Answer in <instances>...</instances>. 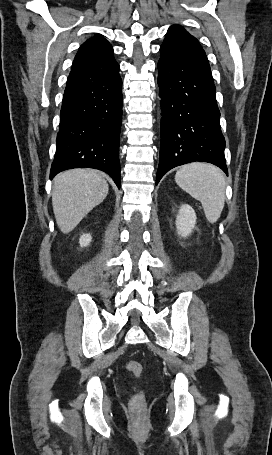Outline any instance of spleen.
<instances>
[{"label":"spleen","mask_w":272,"mask_h":455,"mask_svg":"<svg viewBox=\"0 0 272 455\" xmlns=\"http://www.w3.org/2000/svg\"><path fill=\"white\" fill-rule=\"evenodd\" d=\"M179 187L199 200L205 216L215 223L225 204V177L223 172L210 164L191 163L182 166L175 175Z\"/></svg>","instance_id":"obj_1"}]
</instances>
